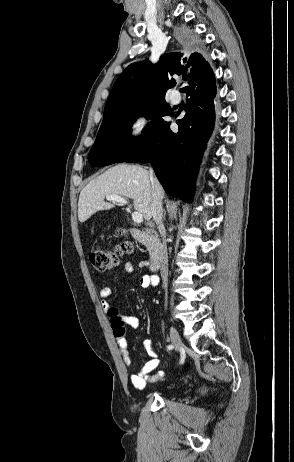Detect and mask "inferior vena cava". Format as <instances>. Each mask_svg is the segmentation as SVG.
I'll list each match as a JSON object with an SVG mask.
<instances>
[{"label": "inferior vena cava", "mask_w": 294, "mask_h": 462, "mask_svg": "<svg viewBox=\"0 0 294 462\" xmlns=\"http://www.w3.org/2000/svg\"><path fill=\"white\" fill-rule=\"evenodd\" d=\"M150 179L152 182V185L154 184V178H153V170L150 169ZM151 213L153 220L156 222L158 229L160 233L164 232V225L162 221V199L160 198L159 194L155 190L153 186V192H152V201H151ZM158 260L162 263V279H163V287L167 288V262L163 254L161 253V256L158 258ZM165 300H167V297H165ZM165 306H167V301H165Z\"/></svg>", "instance_id": "602c4592"}]
</instances>
